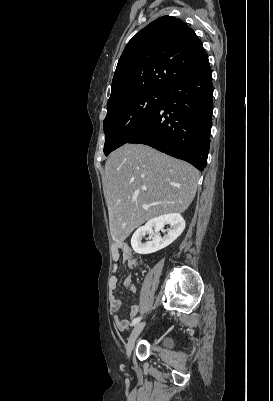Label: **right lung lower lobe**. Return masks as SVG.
Segmentation results:
<instances>
[{"label":"right lung lower lobe","instance_id":"98d812e1","mask_svg":"<svg viewBox=\"0 0 273 401\" xmlns=\"http://www.w3.org/2000/svg\"><path fill=\"white\" fill-rule=\"evenodd\" d=\"M163 100L127 143L146 144L202 170L213 112L209 63L165 89Z\"/></svg>","mask_w":273,"mask_h":401}]
</instances>
